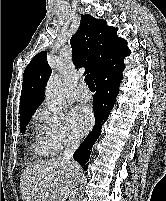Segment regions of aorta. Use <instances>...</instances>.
Segmentation results:
<instances>
[{"label": "aorta", "mask_w": 166, "mask_h": 201, "mask_svg": "<svg viewBox=\"0 0 166 201\" xmlns=\"http://www.w3.org/2000/svg\"><path fill=\"white\" fill-rule=\"evenodd\" d=\"M45 99L54 111H60L65 104V95L61 80L57 75L52 76L46 86Z\"/></svg>", "instance_id": "obj_1"}]
</instances>
